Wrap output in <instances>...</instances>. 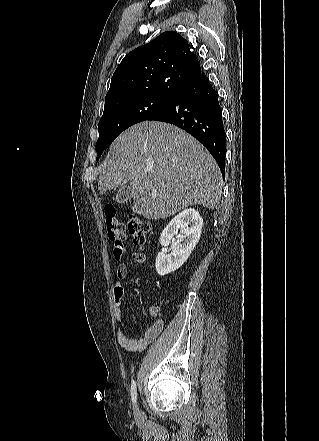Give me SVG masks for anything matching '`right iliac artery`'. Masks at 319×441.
Wrapping results in <instances>:
<instances>
[{
	"label": "right iliac artery",
	"mask_w": 319,
	"mask_h": 441,
	"mask_svg": "<svg viewBox=\"0 0 319 441\" xmlns=\"http://www.w3.org/2000/svg\"><path fill=\"white\" fill-rule=\"evenodd\" d=\"M131 398H132L133 404L136 405L137 390H136V383H135V381H133L132 384H131Z\"/></svg>",
	"instance_id": "obj_1"
}]
</instances>
